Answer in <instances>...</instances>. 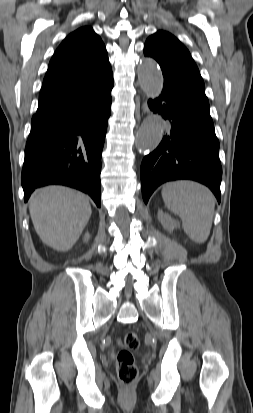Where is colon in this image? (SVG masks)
Masks as SVG:
<instances>
[{
  "mask_svg": "<svg viewBox=\"0 0 253 413\" xmlns=\"http://www.w3.org/2000/svg\"><path fill=\"white\" fill-rule=\"evenodd\" d=\"M124 347L117 355L116 370L120 384L129 389L137 379L138 369L131 352L139 346V338L135 332H128L123 339Z\"/></svg>",
  "mask_w": 253,
  "mask_h": 413,
  "instance_id": "5ec220e1",
  "label": "colon"
}]
</instances>
